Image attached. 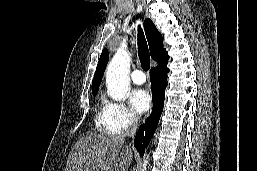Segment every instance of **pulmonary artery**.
Returning <instances> with one entry per match:
<instances>
[{"instance_id": "pulmonary-artery-1", "label": "pulmonary artery", "mask_w": 257, "mask_h": 171, "mask_svg": "<svg viewBox=\"0 0 257 171\" xmlns=\"http://www.w3.org/2000/svg\"><path fill=\"white\" fill-rule=\"evenodd\" d=\"M131 79H132L133 83H135L137 85H142L146 81V76L142 70L136 69L133 71V73L131 75Z\"/></svg>"}]
</instances>
